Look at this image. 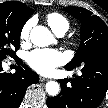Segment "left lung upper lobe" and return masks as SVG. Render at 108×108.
Here are the masks:
<instances>
[{"label":"left lung upper lobe","mask_w":108,"mask_h":108,"mask_svg":"<svg viewBox=\"0 0 108 108\" xmlns=\"http://www.w3.org/2000/svg\"><path fill=\"white\" fill-rule=\"evenodd\" d=\"M81 21V42L74 56L66 67H77L84 64L103 65L108 63V27L103 20L92 15V12L79 7L64 8ZM76 92H72L71 96Z\"/></svg>","instance_id":"left-lung-upper-lobe-1"}]
</instances>
